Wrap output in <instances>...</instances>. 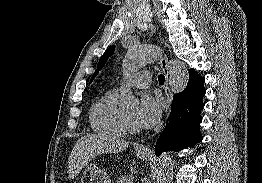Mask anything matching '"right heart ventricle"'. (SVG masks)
<instances>
[{"label":"right heart ventricle","instance_id":"e07e8e85","mask_svg":"<svg viewBox=\"0 0 262 183\" xmlns=\"http://www.w3.org/2000/svg\"><path fill=\"white\" fill-rule=\"evenodd\" d=\"M117 100V92L109 91L91 107L89 121L96 133L111 138H122L127 134L124 113L119 109Z\"/></svg>","mask_w":262,"mask_h":183}]
</instances>
